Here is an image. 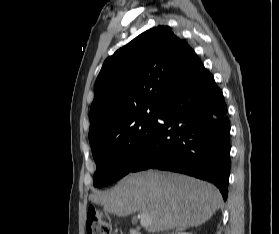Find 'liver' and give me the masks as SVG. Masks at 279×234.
Wrapping results in <instances>:
<instances>
[{
    "instance_id": "liver-1",
    "label": "liver",
    "mask_w": 279,
    "mask_h": 234,
    "mask_svg": "<svg viewBox=\"0 0 279 234\" xmlns=\"http://www.w3.org/2000/svg\"><path fill=\"white\" fill-rule=\"evenodd\" d=\"M90 199L118 216L137 211L147 215L152 233L199 226L223 202L218 189L210 183L153 170L130 174L110 191L95 193Z\"/></svg>"
}]
</instances>
